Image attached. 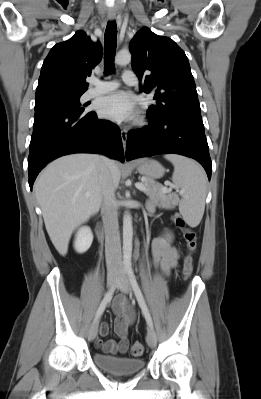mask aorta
I'll return each instance as SVG.
<instances>
[{
	"label": "aorta",
	"instance_id": "1",
	"mask_svg": "<svg viewBox=\"0 0 261 399\" xmlns=\"http://www.w3.org/2000/svg\"><path fill=\"white\" fill-rule=\"evenodd\" d=\"M130 62L131 54L129 52L121 51L115 56V63H117L118 65H127ZM132 240V216L130 213L126 212L123 217V263L127 267L131 265Z\"/></svg>",
	"mask_w": 261,
	"mask_h": 399
}]
</instances>
